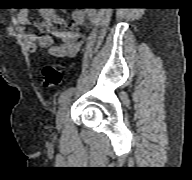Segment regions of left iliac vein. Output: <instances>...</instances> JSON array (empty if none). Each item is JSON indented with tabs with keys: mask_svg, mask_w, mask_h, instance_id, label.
<instances>
[{
	"mask_svg": "<svg viewBox=\"0 0 192 180\" xmlns=\"http://www.w3.org/2000/svg\"><path fill=\"white\" fill-rule=\"evenodd\" d=\"M70 99L67 98L62 104L60 105V108L57 112L56 117V124L58 128H62L66 121V116L68 113V107H69Z\"/></svg>",
	"mask_w": 192,
	"mask_h": 180,
	"instance_id": "obj_1",
	"label": "left iliac vein"
}]
</instances>
